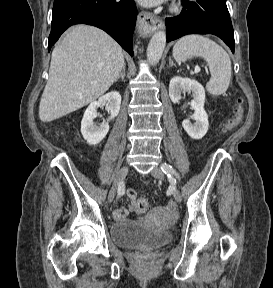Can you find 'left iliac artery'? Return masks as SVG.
I'll list each match as a JSON object with an SVG mask.
<instances>
[{
	"instance_id": "left-iliac-artery-1",
	"label": "left iliac artery",
	"mask_w": 273,
	"mask_h": 288,
	"mask_svg": "<svg viewBox=\"0 0 273 288\" xmlns=\"http://www.w3.org/2000/svg\"><path fill=\"white\" fill-rule=\"evenodd\" d=\"M161 170L168 176L170 181L176 182V179L173 177V175L180 181V175L169 164H162Z\"/></svg>"
}]
</instances>
